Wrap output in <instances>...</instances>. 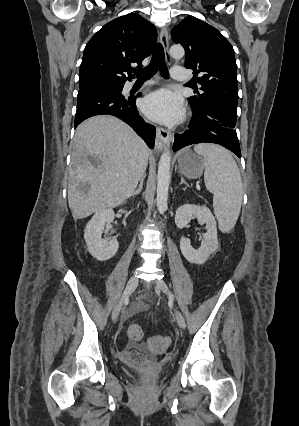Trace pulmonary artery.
<instances>
[{
  "instance_id": "obj_1",
  "label": "pulmonary artery",
  "mask_w": 299,
  "mask_h": 426,
  "mask_svg": "<svg viewBox=\"0 0 299 426\" xmlns=\"http://www.w3.org/2000/svg\"><path fill=\"white\" fill-rule=\"evenodd\" d=\"M171 77L177 81H184L187 79L185 69L180 66H173L171 69ZM153 81L147 82V84H152Z\"/></svg>"
}]
</instances>
